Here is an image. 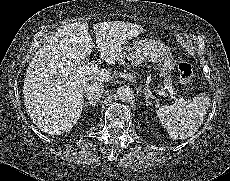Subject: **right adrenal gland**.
<instances>
[{
	"label": "right adrenal gland",
	"instance_id": "obj_1",
	"mask_svg": "<svg viewBox=\"0 0 230 181\" xmlns=\"http://www.w3.org/2000/svg\"><path fill=\"white\" fill-rule=\"evenodd\" d=\"M98 101H99V100H98ZM98 101H95V100H94V101L85 102V104H84V111H85L89 106H92V110H91V111H93Z\"/></svg>",
	"mask_w": 230,
	"mask_h": 181
}]
</instances>
